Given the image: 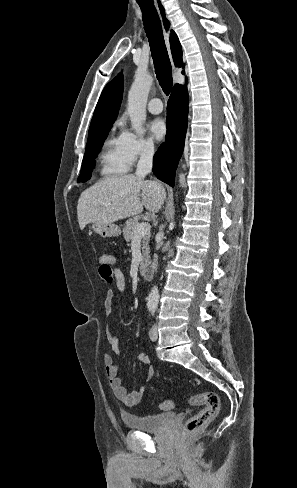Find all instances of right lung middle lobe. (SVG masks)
<instances>
[{"label":"right lung middle lobe","instance_id":"dd1d6c3e","mask_svg":"<svg viewBox=\"0 0 297 488\" xmlns=\"http://www.w3.org/2000/svg\"><path fill=\"white\" fill-rule=\"evenodd\" d=\"M111 126L112 124H104L89 132L81 173L77 182H85L90 179L92 169L95 166V158L100 152L102 143L106 139Z\"/></svg>","mask_w":297,"mask_h":488}]
</instances>
